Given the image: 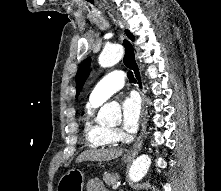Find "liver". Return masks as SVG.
Listing matches in <instances>:
<instances>
[{"mask_svg":"<svg viewBox=\"0 0 221 191\" xmlns=\"http://www.w3.org/2000/svg\"><path fill=\"white\" fill-rule=\"evenodd\" d=\"M123 154L122 149H91L82 152L76 159V163L83 161H109L120 157Z\"/></svg>","mask_w":221,"mask_h":191,"instance_id":"6515ba94","label":"liver"}]
</instances>
